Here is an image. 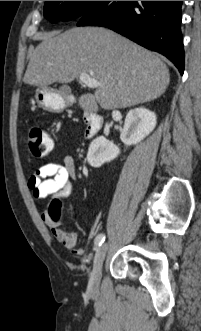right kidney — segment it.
<instances>
[{
    "mask_svg": "<svg viewBox=\"0 0 201 331\" xmlns=\"http://www.w3.org/2000/svg\"><path fill=\"white\" fill-rule=\"evenodd\" d=\"M156 115L145 108L130 110L125 118L120 139L126 145H135L148 136L156 126ZM120 154V149L105 137L94 139L88 149L87 161L92 167H100Z\"/></svg>",
    "mask_w": 201,
    "mask_h": 331,
    "instance_id": "ca27d5eb",
    "label": "right kidney"
}]
</instances>
